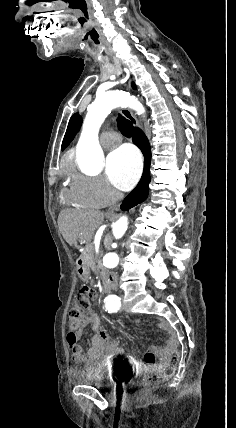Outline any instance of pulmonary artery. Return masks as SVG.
<instances>
[{
  "label": "pulmonary artery",
  "instance_id": "pulmonary-artery-1",
  "mask_svg": "<svg viewBox=\"0 0 236 428\" xmlns=\"http://www.w3.org/2000/svg\"><path fill=\"white\" fill-rule=\"evenodd\" d=\"M105 136H114L116 138V141H121L120 135L116 132H109ZM103 147L106 149H112L116 147V145L113 143H103Z\"/></svg>",
  "mask_w": 236,
  "mask_h": 428
}]
</instances>
